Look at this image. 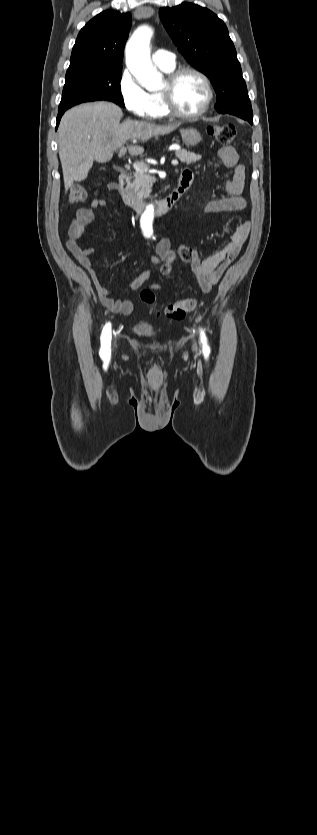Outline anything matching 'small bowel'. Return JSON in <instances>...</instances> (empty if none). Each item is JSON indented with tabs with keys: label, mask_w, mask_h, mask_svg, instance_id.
<instances>
[{
	"label": "small bowel",
	"mask_w": 317,
	"mask_h": 835,
	"mask_svg": "<svg viewBox=\"0 0 317 835\" xmlns=\"http://www.w3.org/2000/svg\"><path fill=\"white\" fill-rule=\"evenodd\" d=\"M218 154L223 165L227 168H233L234 172L230 179H226L223 182V188L227 196L209 201L204 207V212L219 213L244 210L246 208V200L242 196V192L245 187L246 172L244 165L239 163V154L231 146L220 148ZM181 179L190 186L194 179L192 170L184 169L181 174ZM108 188L110 190L117 189L115 183H109ZM106 205V200L99 197L98 192H95L90 200V206L77 210L69 227V240L67 245L80 264L88 271L101 304L110 312L128 315L133 311V302L130 299L113 298L110 292L101 284L91 261V256L94 254L95 249L93 247H79V241L82 239L84 232L94 222V211ZM248 233L249 223L248 221H244L236 228L229 242L222 250L203 260L197 253L195 257L186 261L203 292H209L216 285L225 270L239 254L247 239ZM181 247L174 249L169 239H162L156 248L157 257L135 279L127 283L125 288L132 291L139 289L149 279L153 270H156L158 277H160L163 274L162 266L166 262L171 261ZM158 286V284L152 285L154 289L158 288Z\"/></svg>",
	"instance_id": "small-bowel-1"
}]
</instances>
